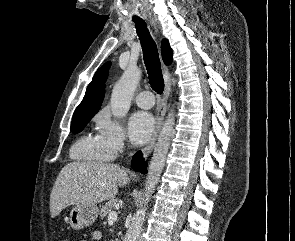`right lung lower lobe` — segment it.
<instances>
[{"label":"right lung lower lobe","instance_id":"obj_1","mask_svg":"<svg viewBox=\"0 0 295 241\" xmlns=\"http://www.w3.org/2000/svg\"><path fill=\"white\" fill-rule=\"evenodd\" d=\"M131 166H132L133 170L143 173V174H146L147 169H146L145 162L143 161L142 154L140 151L137 152L133 156Z\"/></svg>","mask_w":295,"mask_h":241}]
</instances>
